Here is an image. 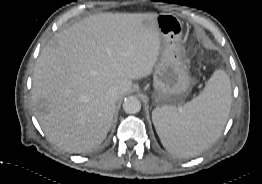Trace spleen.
<instances>
[{
  "mask_svg": "<svg viewBox=\"0 0 262 184\" xmlns=\"http://www.w3.org/2000/svg\"><path fill=\"white\" fill-rule=\"evenodd\" d=\"M231 83L221 69L214 71L202 93L180 109L166 105L152 112L162 145L179 157H193L221 135L231 108Z\"/></svg>",
  "mask_w": 262,
  "mask_h": 184,
  "instance_id": "spleen-1",
  "label": "spleen"
}]
</instances>
